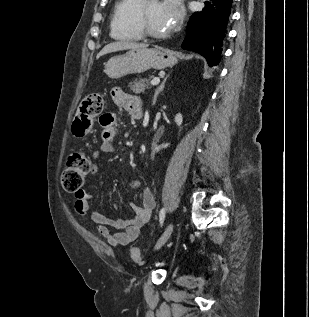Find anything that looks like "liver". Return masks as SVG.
Returning <instances> with one entry per match:
<instances>
[{"label": "liver", "instance_id": "liver-1", "mask_svg": "<svg viewBox=\"0 0 309 317\" xmlns=\"http://www.w3.org/2000/svg\"><path fill=\"white\" fill-rule=\"evenodd\" d=\"M147 44L134 43L128 41H116L106 45L97 55V59L108 53L123 51L128 49L146 48Z\"/></svg>", "mask_w": 309, "mask_h": 317}]
</instances>
